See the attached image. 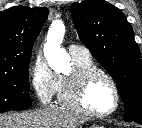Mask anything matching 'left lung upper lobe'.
I'll return each instance as SVG.
<instances>
[{"label": "left lung upper lobe", "mask_w": 142, "mask_h": 128, "mask_svg": "<svg viewBox=\"0 0 142 128\" xmlns=\"http://www.w3.org/2000/svg\"><path fill=\"white\" fill-rule=\"evenodd\" d=\"M71 14L80 40L116 82L125 121L142 124V60L131 24L104 0L74 3Z\"/></svg>", "instance_id": "left-lung-upper-lobe-1"}]
</instances>
